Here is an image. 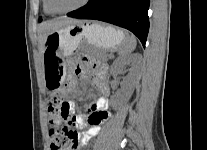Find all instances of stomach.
I'll return each instance as SVG.
<instances>
[{"label":"stomach","mask_w":207,"mask_h":150,"mask_svg":"<svg viewBox=\"0 0 207 150\" xmlns=\"http://www.w3.org/2000/svg\"><path fill=\"white\" fill-rule=\"evenodd\" d=\"M127 41L123 30L98 22L71 24L50 32L42 51L47 87L55 89L64 83L65 58L72 57L82 44L91 49L93 58L102 60L107 52L117 50Z\"/></svg>","instance_id":"1"}]
</instances>
